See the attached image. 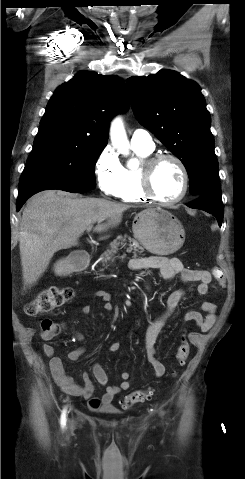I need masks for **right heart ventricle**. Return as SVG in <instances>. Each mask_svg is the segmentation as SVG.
<instances>
[{
  "label": "right heart ventricle",
  "instance_id": "obj_1",
  "mask_svg": "<svg viewBox=\"0 0 245 479\" xmlns=\"http://www.w3.org/2000/svg\"><path fill=\"white\" fill-rule=\"evenodd\" d=\"M135 153L142 159L148 158L153 150H147L144 148L133 147ZM140 168H123L122 181L117 193V197L130 203H138L148 201L149 199L143 194L140 187Z\"/></svg>",
  "mask_w": 245,
  "mask_h": 479
}]
</instances>
